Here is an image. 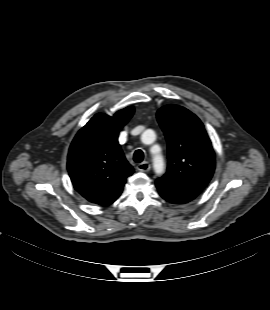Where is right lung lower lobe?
Listing matches in <instances>:
<instances>
[{
    "instance_id": "98d812e1",
    "label": "right lung lower lobe",
    "mask_w": 270,
    "mask_h": 310,
    "mask_svg": "<svg viewBox=\"0 0 270 310\" xmlns=\"http://www.w3.org/2000/svg\"><path fill=\"white\" fill-rule=\"evenodd\" d=\"M118 197H119V196H117V197H115V198L109 200L108 202H106V203L103 204V205H109V204L113 203Z\"/></svg>"
}]
</instances>
